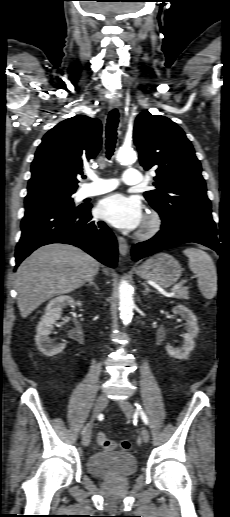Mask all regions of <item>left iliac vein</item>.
<instances>
[{"instance_id": "left-iliac-vein-1", "label": "left iliac vein", "mask_w": 230, "mask_h": 517, "mask_svg": "<svg viewBox=\"0 0 230 517\" xmlns=\"http://www.w3.org/2000/svg\"><path fill=\"white\" fill-rule=\"evenodd\" d=\"M118 404L124 412L125 416L128 419H131L135 413V407L127 400H120ZM149 437L150 434L148 429L146 427H143L141 430V440L146 443L149 441Z\"/></svg>"}]
</instances>
